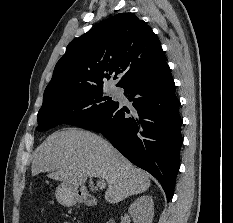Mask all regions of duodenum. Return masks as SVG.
<instances>
[{"mask_svg": "<svg viewBox=\"0 0 233 223\" xmlns=\"http://www.w3.org/2000/svg\"><path fill=\"white\" fill-rule=\"evenodd\" d=\"M77 200L80 203H84L90 207H94L97 205V199L91 195L86 189H80L77 192ZM110 223H114V221H111Z\"/></svg>", "mask_w": 233, "mask_h": 223, "instance_id": "1", "label": "duodenum"}]
</instances>
